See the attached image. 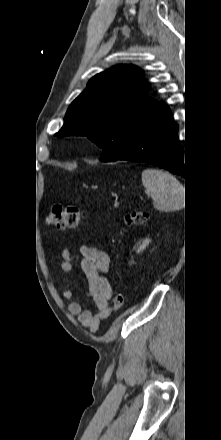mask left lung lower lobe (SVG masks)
<instances>
[{
	"mask_svg": "<svg viewBox=\"0 0 221 440\" xmlns=\"http://www.w3.org/2000/svg\"><path fill=\"white\" fill-rule=\"evenodd\" d=\"M177 131L168 106L156 102L134 127L127 149L118 160L150 163L187 179L186 164L178 155Z\"/></svg>",
	"mask_w": 221,
	"mask_h": 440,
	"instance_id": "left-lung-lower-lobe-1",
	"label": "left lung lower lobe"
}]
</instances>
